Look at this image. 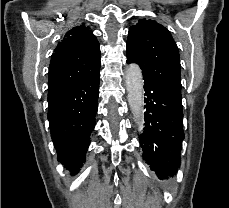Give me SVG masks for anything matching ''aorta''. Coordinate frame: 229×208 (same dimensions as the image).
Segmentation results:
<instances>
[{"mask_svg": "<svg viewBox=\"0 0 229 208\" xmlns=\"http://www.w3.org/2000/svg\"><path fill=\"white\" fill-rule=\"evenodd\" d=\"M125 74L129 106L136 123L142 128L144 123V89L142 71L137 64H130L127 66Z\"/></svg>", "mask_w": 229, "mask_h": 208, "instance_id": "1", "label": "aorta"}]
</instances>
